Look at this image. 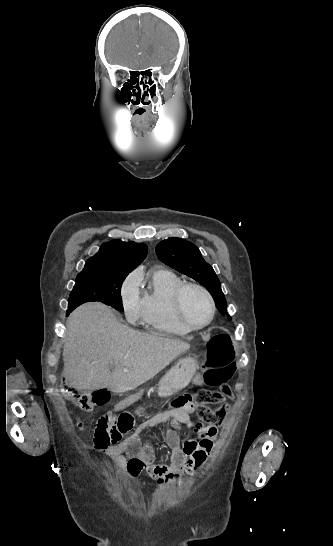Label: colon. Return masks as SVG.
<instances>
[{"instance_id": "colon-1", "label": "colon", "mask_w": 333, "mask_h": 546, "mask_svg": "<svg viewBox=\"0 0 333 546\" xmlns=\"http://www.w3.org/2000/svg\"><path fill=\"white\" fill-rule=\"evenodd\" d=\"M203 373V383L216 388L213 394L205 399L211 402H220L222 398H232L233 393L228 381L234 374L238 373V368L234 362L233 346L226 335L216 334L208 342L206 365ZM67 392L72 402L84 411H91L94 407L104 405L109 400V395L104 391L80 392L68 388ZM190 402V396H182L175 401V406L182 407ZM142 403H146V400H142ZM129 414L135 417L138 411L132 408ZM130 416L126 413L119 415L108 413L102 416L98 420L94 432L95 448L105 452L118 444L123 436L129 432ZM77 425L79 428L83 426L80 421ZM196 427H202V423L198 422Z\"/></svg>"}]
</instances>
